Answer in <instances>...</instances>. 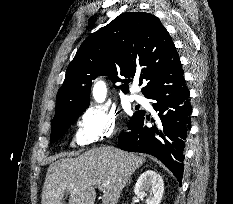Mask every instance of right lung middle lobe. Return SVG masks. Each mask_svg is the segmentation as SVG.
I'll list each match as a JSON object with an SVG mask.
<instances>
[{
    "label": "right lung middle lobe",
    "mask_w": 233,
    "mask_h": 204,
    "mask_svg": "<svg viewBox=\"0 0 233 204\" xmlns=\"http://www.w3.org/2000/svg\"><path fill=\"white\" fill-rule=\"evenodd\" d=\"M85 109H81L75 112L68 114L67 116L54 120L51 122V136L50 143H54L59 140L65 132L68 130L70 125L76 120V118L84 111ZM137 112L134 113L132 117L136 115Z\"/></svg>",
    "instance_id": "right-lung-middle-lobe-1"
}]
</instances>
